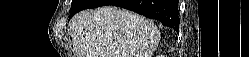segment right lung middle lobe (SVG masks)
<instances>
[{"label":"right lung middle lobe","instance_id":"obj_1","mask_svg":"<svg viewBox=\"0 0 249 57\" xmlns=\"http://www.w3.org/2000/svg\"><path fill=\"white\" fill-rule=\"evenodd\" d=\"M90 2L91 0H73L69 18L73 15V13L85 9L90 4Z\"/></svg>","mask_w":249,"mask_h":57}]
</instances>
